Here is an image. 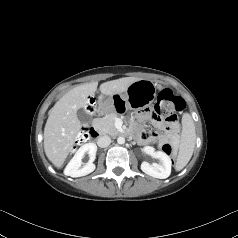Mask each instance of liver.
Here are the masks:
<instances>
[{
	"instance_id": "1",
	"label": "liver",
	"mask_w": 238,
	"mask_h": 238,
	"mask_svg": "<svg viewBox=\"0 0 238 238\" xmlns=\"http://www.w3.org/2000/svg\"><path fill=\"white\" fill-rule=\"evenodd\" d=\"M137 80L140 79L125 77L108 81L100 85V91L107 96L120 94ZM97 86V81L79 85L62 96L49 110L44 128V150L56 167L63 165L74 146L82 127L77 111L88 104V97L94 95Z\"/></svg>"
}]
</instances>
